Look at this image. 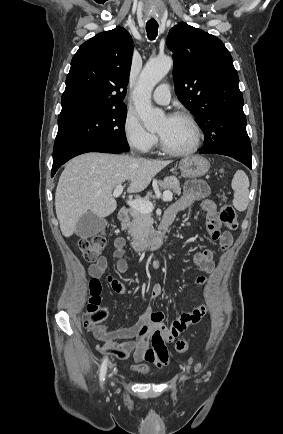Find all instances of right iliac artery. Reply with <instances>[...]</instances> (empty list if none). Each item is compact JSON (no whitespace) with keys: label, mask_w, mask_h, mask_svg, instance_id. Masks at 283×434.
I'll use <instances>...</instances> for the list:
<instances>
[{"label":"right iliac artery","mask_w":283,"mask_h":434,"mask_svg":"<svg viewBox=\"0 0 283 434\" xmlns=\"http://www.w3.org/2000/svg\"><path fill=\"white\" fill-rule=\"evenodd\" d=\"M107 361L108 359L105 358L102 362V365L100 367V382L103 383V381L105 380V375H106V371H107Z\"/></svg>","instance_id":"right-iliac-artery-1"}]
</instances>
